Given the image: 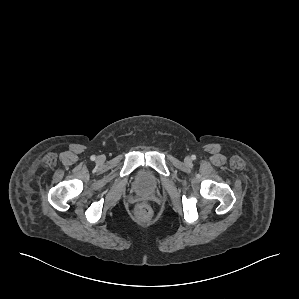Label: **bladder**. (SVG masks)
I'll list each match as a JSON object with an SVG mask.
<instances>
[{
    "label": "bladder",
    "instance_id": "1",
    "mask_svg": "<svg viewBox=\"0 0 299 299\" xmlns=\"http://www.w3.org/2000/svg\"><path fill=\"white\" fill-rule=\"evenodd\" d=\"M156 174L148 168L139 169L133 179V187L139 193H151L158 188Z\"/></svg>",
    "mask_w": 299,
    "mask_h": 299
}]
</instances>
